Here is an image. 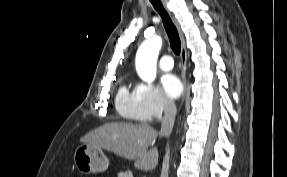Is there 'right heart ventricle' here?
Here are the masks:
<instances>
[{"label": "right heart ventricle", "instance_id": "right-heart-ventricle-1", "mask_svg": "<svg viewBox=\"0 0 287 177\" xmlns=\"http://www.w3.org/2000/svg\"><path fill=\"white\" fill-rule=\"evenodd\" d=\"M116 110L123 118L141 121L139 114V99L136 87L131 89L128 85H122L117 93L115 100Z\"/></svg>", "mask_w": 287, "mask_h": 177}]
</instances>
